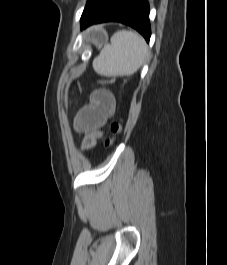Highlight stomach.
<instances>
[{"mask_svg":"<svg viewBox=\"0 0 227 265\" xmlns=\"http://www.w3.org/2000/svg\"><path fill=\"white\" fill-rule=\"evenodd\" d=\"M93 42L97 45H103L107 42V33L103 29L93 31Z\"/></svg>","mask_w":227,"mask_h":265,"instance_id":"stomach-1","label":"stomach"}]
</instances>
